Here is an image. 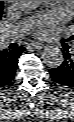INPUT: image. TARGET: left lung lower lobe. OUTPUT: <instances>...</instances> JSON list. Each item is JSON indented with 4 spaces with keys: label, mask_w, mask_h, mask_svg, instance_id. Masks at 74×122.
<instances>
[{
    "label": "left lung lower lobe",
    "mask_w": 74,
    "mask_h": 122,
    "mask_svg": "<svg viewBox=\"0 0 74 122\" xmlns=\"http://www.w3.org/2000/svg\"><path fill=\"white\" fill-rule=\"evenodd\" d=\"M64 62L57 68L49 71L51 79L66 88H74V48L69 51V46L63 44Z\"/></svg>",
    "instance_id": "obj_1"
}]
</instances>
